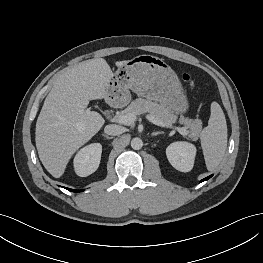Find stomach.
Returning a JSON list of instances; mask_svg holds the SVG:
<instances>
[{
  "instance_id": "stomach-1",
  "label": "stomach",
  "mask_w": 263,
  "mask_h": 263,
  "mask_svg": "<svg viewBox=\"0 0 263 263\" xmlns=\"http://www.w3.org/2000/svg\"><path fill=\"white\" fill-rule=\"evenodd\" d=\"M132 90L139 96L166 105L176 114H185L189 102L177 74L163 59L152 55H139L113 74L108 95L127 102Z\"/></svg>"
}]
</instances>
